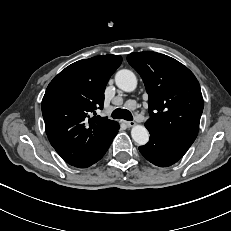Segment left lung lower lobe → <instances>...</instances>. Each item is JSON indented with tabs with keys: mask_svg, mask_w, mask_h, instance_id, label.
<instances>
[{
	"mask_svg": "<svg viewBox=\"0 0 231 231\" xmlns=\"http://www.w3.org/2000/svg\"><path fill=\"white\" fill-rule=\"evenodd\" d=\"M150 132V140L144 145L140 146L141 154L151 163L167 167L176 163L189 149V146L184 145L164 134L160 131L146 126Z\"/></svg>",
	"mask_w": 231,
	"mask_h": 231,
	"instance_id": "0a47b994",
	"label": "left lung lower lobe"
}]
</instances>
